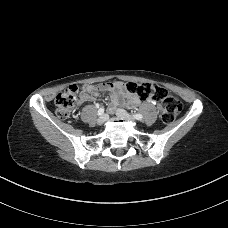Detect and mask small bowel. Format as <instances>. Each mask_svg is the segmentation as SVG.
<instances>
[{
	"mask_svg": "<svg viewBox=\"0 0 228 228\" xmlns=\"http://www.w3.org/2000/svg\"><path fill=\"white\" fill-rule=\"evenodd\" d=\"M100 91H106L111 93V100L109 109L113 110L120 104L126 103L129 107H134L140 103V100L135 96L128 94L125 85L121 81L104 83L101 85L88 84L82 89L79 97L80 103L90 102L96 99ZM149 102L153 99H147Z\"/></svg>",
	"mask_w": 228,
	"mask_h": 228,
	"instance_id": "c3829d8e",
	"label": "small bowel"
}]
</instances>
